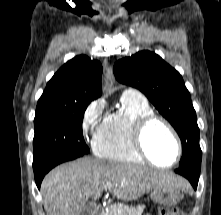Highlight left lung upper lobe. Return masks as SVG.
I'll return each instance as SVG.
<instances>
[{
  "instance_id": "left-lung-upper-lobe-1",
  "label": "left lung upper lobe",
  "mask_w": 221,
  "mask_h": 215,
  "mask_svg": "<svg viewBox=\"0 0 221 215\" xmlns=\"http://www.w3.org/2000/svg\"><path fill=\"white\" fill-rule=\"evenodd\" d=\"M113 70L120 83L143 92L177 131L183 146L179 168L200 169L202 152L196 112L179 72L150 51L118 60Z\"/></svg>"
}]
</instances>
